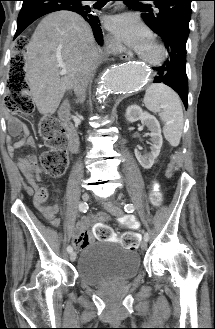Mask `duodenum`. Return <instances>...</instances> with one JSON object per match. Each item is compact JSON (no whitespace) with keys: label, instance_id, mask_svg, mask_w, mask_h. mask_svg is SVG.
I'll return each mask as SVG.
<instances>
[{"label":"duodenum","instance_id":"duodenum-1","mask_svg":"<svg viewBox=\"0 0 215 329\" xmlns=\"http://www.w3.org/2000/svg\"><path fill=\"white\" fill-rule=\"evenodd\" d=\"M70 111L71 105L68 100H66L60 110H59V117L63 122L64 128L66 130L67 138H68V149L70 152L75 153L79 147V138L75 131V128L70 119Z\"/></svg>","mask_w":215,"mask_h":329}]
</instances>
